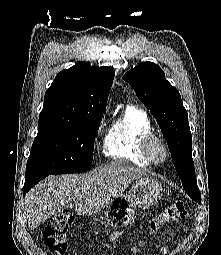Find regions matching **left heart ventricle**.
Here are the masks:
<instances>
[{
    "label": "left heart ventricle",
    "mask_w": 221,
    "mask_h": 255,
    "mask_svg": "<svg viewBox=\"0 0 221 255\" xmlns=\"http://www.w3.org/2000/svg\"><path fill=\"white\" fill-rule=\"evenodd\" d=\"M154 154L158 160H160L163 156L162 150L159 147H155Z\"/></svg>",
    "instance_id": "obj_1"
}]
</instances>
